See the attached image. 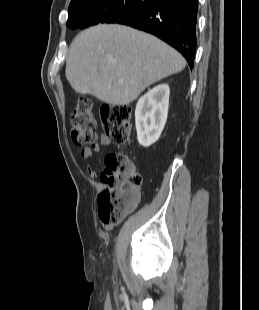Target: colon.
<instances>
[{
    "label": "colon",
    "mask_w": 259,
    "mask_h": 310,
    "mask_svg": "<svg viewBox=\"0 0 259 310\" xmlns=\"http://www.w3.org/2000/svg\"><path fill=\"white\" fill-rule=\"evenodd\" d=\"M101 119L107 138L115 144L124 145L131 133V108L127 105L106 106ZM71 137L77 145H96V121L89 98L79 97L71 116ZM101 180L106 188L99 194L97 215L105 225L120 223L139 201L138 189L141 175L132 160L123 153H110L105 157Z\"/></svg>",
    "instance_id": "obj_1"
}]
</instances>
